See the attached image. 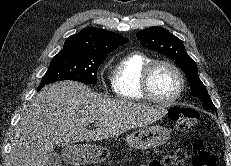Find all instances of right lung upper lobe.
<instances>
[{"label":"right lung upper lobe","mask_w":231,"mask_h":166,"mask_svg":"<svg viewBox=\"0 0 231 166\" xmlns=\"http://www.w3.org/2000/svg\"><path fill=\"white\" fill-rule=\"evenodd\" d=\"M127 42L128 39L120 34L88 27L68 37L61 51H72L90 56H107L108 53Z\"/></svg>","instance_id":"obj_1"}]
</instances>
